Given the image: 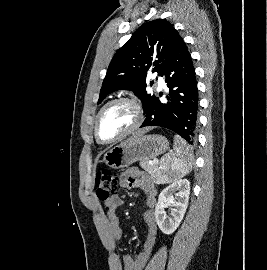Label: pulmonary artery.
<instances>
[{"instance_id": "e3ab8cb5", "label": "pulmonary artery", "mask_w": 267, "mask_h": 270, "mask_svg": "<svg viewBox=\"0 0 267 270\" xmlns=\"http://www.w3.org/2000/svg\"><path fill=\"white\" fill-rule=\"evenodd\" d=\"M158 87L159 88H164L165 87V81H164V79H163V77H158Z\"/></svg>"}]
</instances>
